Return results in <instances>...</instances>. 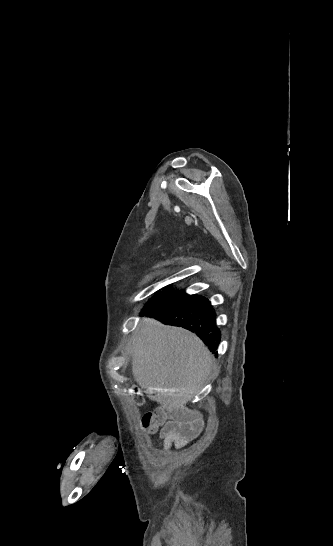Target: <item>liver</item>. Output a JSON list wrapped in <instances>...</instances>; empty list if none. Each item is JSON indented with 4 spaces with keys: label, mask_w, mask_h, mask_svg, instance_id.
<instances>
[{
    "label": "liver",
    "mask_w": 333,
    "mask_h": 546,
    "mask_svg": "<svg viewBox=\"0 0 333 546\" xmlns=\"http://www.w3.org/2000/svg\"><path fill=\"white\" fill-rule=\"evenodd\" d=\"M139 327L132 342L135 380L163 410L184 409L210 374L211 353L185 329L150 318Z\"/></svg>",
    "instance_id": "obj_1"
}]
</instances>
